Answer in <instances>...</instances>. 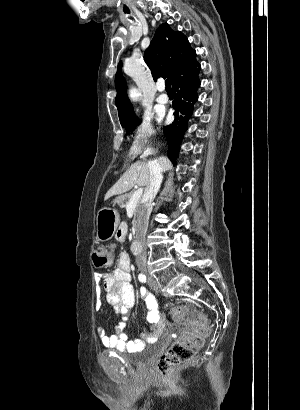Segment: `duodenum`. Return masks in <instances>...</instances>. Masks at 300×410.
<instances>
[{
    "instance_id": "duodenum-1",
    "label": "duodenum",
    "mask_w": 300,
    "mask_h": 410,
    "mask_svg": "<svg viewBox=\"0 0 300 410\" xmlns=\"http://www.w3.org/2000/svg\"><path fill=\"white\" fill-rule=\"evenodd\" d=\"M140 250L141 248H140V244L138 243V240L134 241L131 245L132 253L138 255L140 254Z\"/></svg>"
}]
</instances>
